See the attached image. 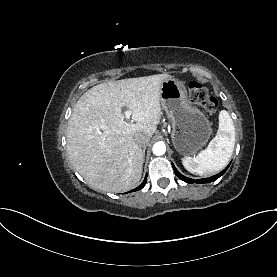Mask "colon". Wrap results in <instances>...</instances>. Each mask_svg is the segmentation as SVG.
<instances>
[{"label":"colon","instance_id":"colon-1","mask_svg":"<svg viewBox=\"0 0 277 277\" xmlns=\"http://www.w3.org/2000/svg\"><path fill=\"white\" fill-rule=\"evenodd\" d=\"M188 93L191 102L200 106L208 113H214L217 109V100L209 95L208 90L198 81H190Z\"/></svg>","mask_w":277,"mask_h":277}]
</instances>
